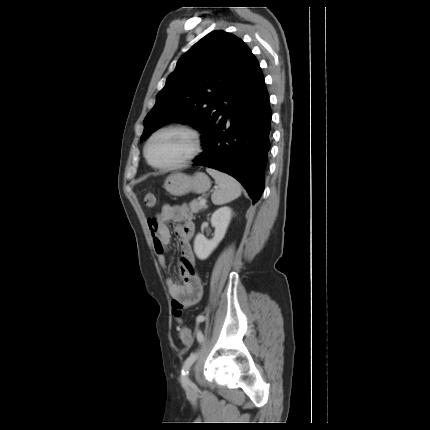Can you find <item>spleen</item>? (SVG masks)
<instances>
[{"instance_id":"spleen-1","label":"spleen","mask_w":430,"mask_h":430,"mask_svg":"<svg viewBox=\"0 0 430 430\" xmlns=\"http://www.w3.org/2000/svg\"><path fill=\"white\" fill-rule=\"evenodd\" d=\"M206 171L217 184L211 196L215 205L229 203L241 195V185L234 177L213 168H207Z\"/></svg>"}]
</instances>
